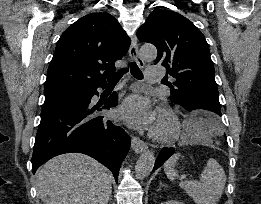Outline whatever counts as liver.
I'll use <instances>...</instances> for the list:
<instances>
[{
	"instance_id": "liver-1",
	"label": "liver",
	"mask_w": 261,
	"mask_h": 204,
	"mask_svg": "<svg viewBox=\"0 0 261 204\" xmlns=\"http://www.w3.org/2000/svg\"><path fill=\"white\" fill-rule=\"evenodd\" d=\"M36 187L43 204H107L112 191L111 174L87 155L68 153L41 167Z\"/></svg>"
}]
</instances>
